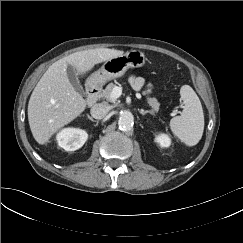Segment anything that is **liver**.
Segmentation results:
<instances>
[{
    "label": "liver",
    "mask_w": 243,
    "mask_h": 243,
    "mask_svg": "<svg viewBox=\"0 0 243 243\" xmlns=\"http://www.w3.org/2000/svg\"><path fill=\"white\" fill-rule=\"evenodd\" d=\"M124 51L96 48L72 53L54 62L34 88L28 103V121L34 139L45 144L59 129L77 118L86 108L85 99L67 76V66L83 76L99 63L123 55Z\"/></svg>",
    "instance_id": "obj_1"
}]
</instances>
